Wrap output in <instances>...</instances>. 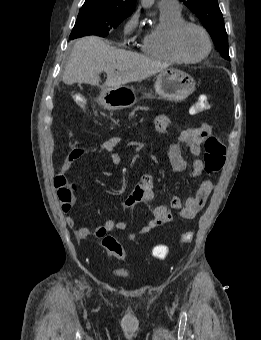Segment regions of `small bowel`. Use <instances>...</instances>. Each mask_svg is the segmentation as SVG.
<instances>
[{
  "instance_id": "obj_1",
  "label": "small bowel",
  "mask_w": 261,
  "mask_h": 340,
  "mask_svg": "<svg viewBox=\"0 0 261 340\" xmlns=\"http://www.w3.org/2000/svg\"><path fill=\"white\" fill-rule=\"evenodd\" d=\"M170 122V118L167 115L157 116L155 119V128L157 132L161 135H167ZM210 133V124L203 123L200 126L190 127L183 130L178 135L176 140H168L166 147L169 161L173 169L176 171H183L189 165L187 159L182 154L181 146H184L193 156L191 175L193 177L200 176L204 169V165L200 157V146L204 139L210 135ZM120 141V137L113 136L104 140L99 145L75 146L66 156L62 164V172L64 174L67 173L74 162L86 155L93 153H103L107 155L112 164H120L121 157L114 150ZM102 173L105 176L111 175V173L108 171H103ZM212 189V182L209 180H204L200 183L195 195L187 198L185 202H182L179 197L173 196L170 202V207L164 205L153 207L151 210L153 218L139 230V233L147 234L162 224L170 222L173 218L172 209L178 210L182 219L191 220L195 218L205 206ZM154 198L155 192L153 189V176L151 174L145 173L141 176L139 183L128 196L125 204L128 208H132L139 203L152 202ZM66 222L71 228H73L75 225V220L72 216H68L66 218ZM127 226L128 224L125 221H114L109 219L95 230V236L97 238H103L108 232L112 230H125ZM75 235L78 240H84L91 235V231L88 227L82 226L75 230ZM127 239L131 241L134 240L135 234H129Z\"/></svg>"
}]
</instances>
